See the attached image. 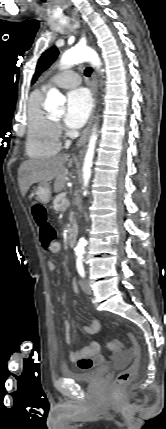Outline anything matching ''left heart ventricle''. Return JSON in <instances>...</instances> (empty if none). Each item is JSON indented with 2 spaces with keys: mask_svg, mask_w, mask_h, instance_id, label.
Listing matches in <instances>:
<instances>
[{
  "mask_svg": "<svg viewBox=\"0 0 166 429\" xmlns=\"http://www.w3.org/2000/svg\"><path fill=\"white\" fill-rule=\"evenodd\" d=\"M54 118H55V119H59V118H60V115H56V116H54Z\"/></svg>",
  "mask_w": 166,
  "mask_h": 429,
  "instance_id": "obj_1",
  "label": "left heart ventricle"
}]
</instances>
